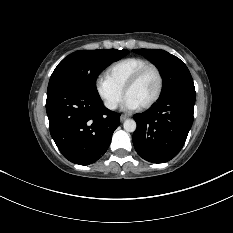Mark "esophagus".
Segmentation results:
<instances>
[{
  "label": "esophagus",
  "mask_w": 233,
  "mask_h": 233,
  "mask_svg": "<svg viewBox=\"0 0 233 233\" xmlns=\"http://www.w3.org/2000/svg\"><path fill=\"white\" fill-rule=\"evenodd\" d=\"M128 117L126 115H121L120 116V121L123 122L127 119Z\"/></svg>",
  "instance_id": "obj_1"
}]
</instances>
